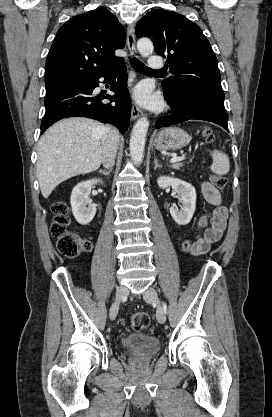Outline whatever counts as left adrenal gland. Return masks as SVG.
Listing matches in <instances>:
<instances>
[{
  "label": "left adrenal gland",
  "mask_w": 272,
  "mask_h": 417,
  "mask_svg": "<svg viewBox=\"0 0 272 417\" xmlns=\"http://www.w3.org/2000/svg\"><path fill=\"white\" fill-rule=\"evenodd\" d=\"M157 168H162V165L158 164V160L154 158V169L156 170Z\"/></svg>",
  "instance_id": "obj_1"
}]
</instances>
